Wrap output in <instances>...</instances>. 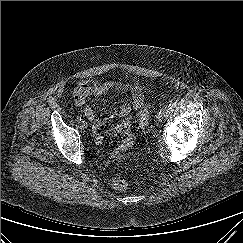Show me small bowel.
I'll list each match as a JSON object with an SVG mask.
<instances>
[{"label": "small bowel", "mask_w": 243, "mask_h": 243, "mask_svg": "<svg viewBox=\"0 0 243 243\" xmlns=\"http://www.w3.org/2000/svg\"><path fill=\"white\" fill-rule=\"evenodd\" d=\"M111 90L118 93H131V104L126 103L120 107L118 121L110 130L111 133H126L130 127V114L132 110L139 109L144 101L143 92L138 85H129L115 81L101 82L97 79H85L79 81L73 89L74 103L77 107L83 109L85 116L92 122L97 143H101L103 140V135L99 129L105 123V119L99 116L92 106L87 104V99L90 97H101Z\"/></svg>", "instance_id": "1"}]
</instances>
